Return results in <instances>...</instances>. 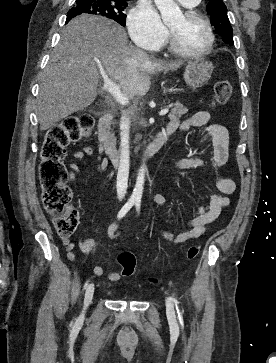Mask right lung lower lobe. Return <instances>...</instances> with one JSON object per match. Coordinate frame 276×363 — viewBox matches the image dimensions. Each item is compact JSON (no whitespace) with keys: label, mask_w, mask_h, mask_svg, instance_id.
Segmentation results:
<instances>
[{"label":"right lung lower lobe","mask_w":276,"mask_h":363,"mask_svg":"<svg viewBox=\"0 0 276 363\" xmlns=\"http://www.w3.org/2000/svg\"><path fill=\"white\" fill-rule=\"evenodd\" d=\"M72 18H73V17H67V19H66V23H67L68 21H70Z\"/></svg>","instance_id":"1"}]
</instances>
